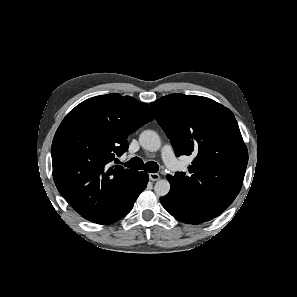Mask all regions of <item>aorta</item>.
<instances>
[{
  "instance_id": "762f6f07",
  "label": "aorta",
  "mask_w": 297,
  "mask_h": 297,
  "mask_svg": "<svg viewBox=\"0 0 297 297\" xmlns=\"http://www.w3.org/2000/svg\"><path fill=\"white\" fill-rule=\"evenodd\" d=\"M139 142L143 149L157 151L161 146L159 135L153 130H145L139 136ZM154 191L158 196H165L170 191V183L166 179H160L155 183Z\"/></svg>"
}]
</instances>
